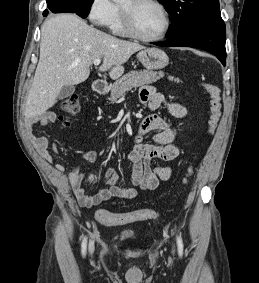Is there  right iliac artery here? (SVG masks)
Here are the masks:
<instances>
[{"label":"right iliac artery","mask_w":259,"mask_h":283,"mask_svg":"<svg viewBox=\"0 0 259 283\" xmlns=\"http://www.w3.org/2000/svg\"><path fill=\"white\" fill-rule=\"evenodd\" d=\"M86 247H87V239L84 238L83 242H82V254L85 255L86 254Z\"/></svg>","instance_id":"1"}]
</instances>
